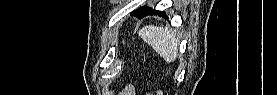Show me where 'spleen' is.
<instances>
[{
  "label": "spleen",
  "mask_w": 277,
  "mask_h": 95,
  "mask_svg": "<svg viewBox=\"0 0 277 95\" xmlns=\"http://www.w3.org/2000/svg\"><path fill=\"white\" fill-rule=\"evenodd\" d=\"M138 35L151 46L166 62H174L178 56L179 39L168 27L144 26Z\"/></svg>",
  "instance_id": "1"
}]
</instances>
